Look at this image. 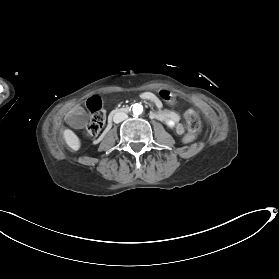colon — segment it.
Returning <instances> with one entry per match:
<instances>
[{
    "label": "colon",
    "instance_id": "1",
    "mask_svg": "<svg viewBox=\"0 0 279 279\" xmlns=\"http://www.w3.org/2000/svg\"><path fill=\"white\" fill-rule=\"evenodd\" d=\"M184 119L186 122L187 129L189 134L185 136L186 142H191L194 139V134L200 130L201 122L199 115L194 110H187L184 113ZM105 124V113L104 110L100 107L97 110L93 111L90 117V120L87 124L85 132L88 136L98 135Z\"/></svg>",
    "mask_w": 279,
    "mask_h": 279
}]
</instances>
